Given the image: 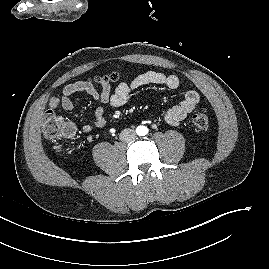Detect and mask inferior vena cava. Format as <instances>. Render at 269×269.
Returning a JSON list of instances; mask_svg holds the SVG:
<instances>
[{"label":"inferior vena cava","mask_w":269,"mask_h":269,"mask_svg":"<svg viewBox=\"0 0 269 269\" xmlns=\"http://www.w3.org/2000/svg\"><path fill=\"white\" fill-rule=\"evenodd\" d=\"M120 139L125 142H132L136 139V132L133 129H124L120 133Z\"/></svg>","instance_id":"1"}]
</instances>
